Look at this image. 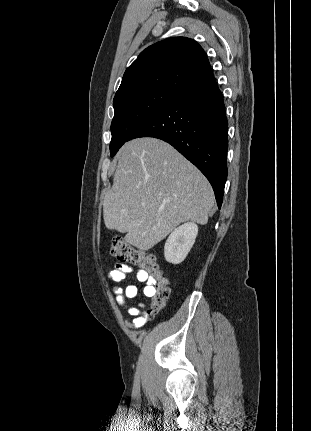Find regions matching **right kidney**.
Instances as JSON below:
<instances>
[{
    "mask_svg": "<svg viewBox=\"0 0 311 431\" xmlns=\"http://www.w3.org/2000/svg\"><path fill=\"white\" fill-rule=\"evenodd\" d=\"M198 233V225L194 221H187L183 225L176 227L170 233L164 245V255L166 261L170 263H181L190 251Z\"/></svg>",
    "mask_w": 311,
    "mask_h": 431,
    "instance_id": "right-kidney-1",
    "label": "right kidney"
}]
</instances>
